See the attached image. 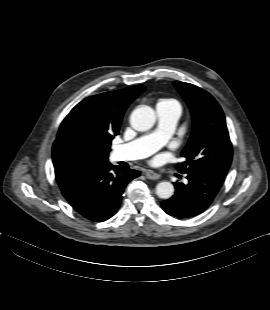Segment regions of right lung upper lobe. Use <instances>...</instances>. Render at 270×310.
<instances>
[{"label": "right lung upper lobe", "instance_id": "cb5924a9", "mask_svg": "<svg viewBox=\"0 0 270 310\" xmlns=\"http://www.w3.org/2000/svg\"><path fill=\"white\" fill-rule=\"evenodd\" d=\"M137 85L88 97L62 121L52 148L55 169L108 161L110 144L128 105L143 91Z\"/></svg>", "mask_w": 270, "mask_h": 310}]
</instances>
